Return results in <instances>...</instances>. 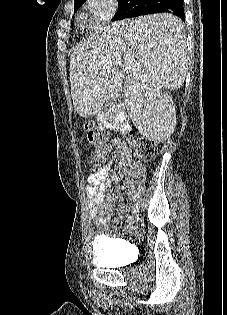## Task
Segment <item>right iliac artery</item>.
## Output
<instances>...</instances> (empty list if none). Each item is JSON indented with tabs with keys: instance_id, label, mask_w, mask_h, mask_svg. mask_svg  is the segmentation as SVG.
I'll return each mask as SVG.
<instances>
[{
	"instance_id": "82829eb1",
	"label": "right iliac artery",
	"mask_w": 227,
	"mask_h": 315,
	"mask_svg": "<svg viewBox=\"0 0 227 315\" xmlns=\"http://www.w3.org/2000/svg\"><path fill=\"white\" fill-rule=\"evenodd\" d=\"M138 211V203L134 204L133 209H132V213H135Z\"/></svg>"
}]
</instances>
